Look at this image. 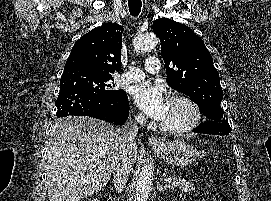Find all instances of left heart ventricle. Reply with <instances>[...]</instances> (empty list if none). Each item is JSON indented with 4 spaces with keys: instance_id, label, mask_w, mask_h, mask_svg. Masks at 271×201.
I'll list each match as a JSON object with an SVG mask.
<instances>
[{
    "instance_id": "b2bd125f",
    "label": "left heart ventricle",
    "mask_w": 271,
    "mask_h": 201,
    "mask_svg": "<svg viewBox=\"0 0 271 201\" xmlns=\"http://www.w3.org/2000/svg\"><path fill=\"white\" fill-rule=\"evenodd\" d=\"M189 119V113L185 106L178 102H171L163 124L170 127H178L185 124Z\"/></svg>"
}]
</instances>
